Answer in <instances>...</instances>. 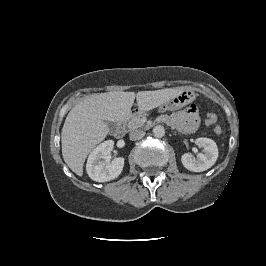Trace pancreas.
Instances as JSON below:
<instances>
[{"instance_id": "cf45deb5", "label": "pancreas", "mask_w": 266, "mask_h": 266, "mask_svg": "<svg viewBox=\"0 0 266 266\" xmlns=\"http://www.w3.org/2000/svg\"><path fill=\"white\" fill-rule=\"evenodd\" d=\"M143 117H144V115L133 116L128 122L129 130L131 131V130H134L137 128L144 127V122L141 120Z\"/></svg>"}]
</instances>
